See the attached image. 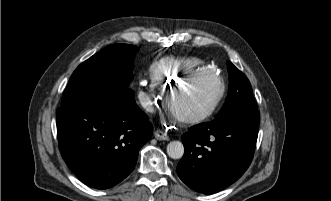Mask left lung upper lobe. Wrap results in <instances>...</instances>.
<instances>
[{"label": "left lung upper lobe", "instance_id": "1", "mask_svg": "<svg viewBox=\"0 0 331 201\" xmlns=\"http://www.w3.org/2000/svg\"><path fill=\"white\" fill-rule=\"evenodd\" d=\"M227 66L230 81L229 93L226 102L217 117L231 113L257 110L252 87L248 78L230 61L227 62Z\"/></svg>", "mask_w": 331, "mask_h": 201}]
</instances>
